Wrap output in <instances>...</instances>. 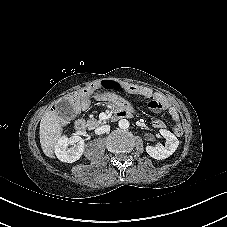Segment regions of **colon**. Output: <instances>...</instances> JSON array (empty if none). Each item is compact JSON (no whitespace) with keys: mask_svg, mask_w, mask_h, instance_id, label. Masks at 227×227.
Listing matches in <instances>:
<instances>
[{"mask_svg":"<svg viewBox=\"0 0 227 227\" xmlns=\"http://www.w3.org/2000/svg\"><path fill=\"white\" fill-rule=\"evenodd\" d=\"M104 86H105V88H114L115 87L112 83L104 84ZM126 89L129 90V91L132 90L131 86H127ZM146 94L148 96H150L152 93L151 92H147ZM163 103L164 102L161 100V98L158 95H155L154 96V99L150 103V107L152 109L160 108L163 105ZM174 134L176 136L181 135V128H180L179 125H175V127H174Z\"/></svg>","mask_w":227,"mask_h":227,"instance_id":"1","label":"colon"}]
</instances>
